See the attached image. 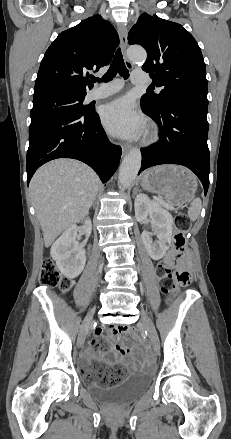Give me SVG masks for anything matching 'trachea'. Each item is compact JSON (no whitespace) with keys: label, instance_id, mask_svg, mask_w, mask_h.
I'll return each mask as SVG.
<instances>
[{"label":"trachea","instance_id":"trachea-1","mask_svg":"<svg viewBox=\"0 0 231 439\" xmlns=\"http://www.w3.org/2000/svg\"><path fill=\"white\" fill-rule=\"evenodd\" d=\"M117 73H119L120 76L124 77L125 79L129 77V71L125 66L120 48L117 49L109 70L105 73V75H103L100 81L109 82L116 76ZM97 81H99V78H92V82L95 83ZM148 90L151 91L152 89L148 88Z\"/></svg>","mask_w":231,"mask_h":439}]
</instances>
